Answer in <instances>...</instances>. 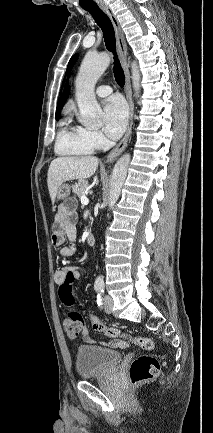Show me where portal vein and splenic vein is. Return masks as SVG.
<instances>
[{
  "instance_id": "portal-vein-and-splenic-vein-1",
  "label": "portal vein and splenic vein",
  "mask_w": 213,
  "mask_h": 433,
  "mask_svg": "<svg viewBox=\"0 0 213 433\" xmlns=\"http://www.w3.org/2000/svg\"><path fill=\"white\" fill-rule=\"evenodd\" d=\"M81 203H82V205H88L89 199L85 195H82L81 196Z\"/></svg>"
}]
</instances>
